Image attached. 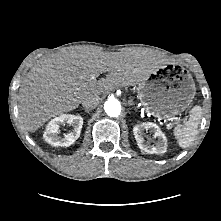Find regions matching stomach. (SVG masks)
Listing matches in <instances>:
<instances>
[{"instance_id":"stomach-1","label":"stomach","mask_w":221,"mask_h":221,"mask_svg":"<svg viewBox=\"0 0 221 221\" xmlns=\"http://www.w3.org/2000/svg\"><path fill=\"white\" fill-rule=\"evenodd\" d=\"M195 91L194 80L185 70L157 69L138 83L137 97L153 116L172 118L186 110Z\"/></svg>"}]
</instances>
